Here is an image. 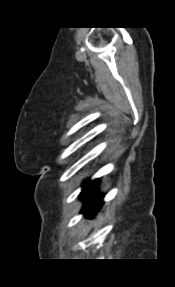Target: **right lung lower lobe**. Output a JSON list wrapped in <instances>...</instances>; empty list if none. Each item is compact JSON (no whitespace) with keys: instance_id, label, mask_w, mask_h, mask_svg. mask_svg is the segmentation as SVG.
<instances>
[{"instance_id":"98d812e1","label":"right lung lower lobe","mask_w":175,"mask_h":287,"mask_svg":"<svg viewBox=\"0 0 175 287\" xmlns=\"http://www.w3.org/2000/svg\"><path fill=\"white\" fill-rule=\"evenodd\" d=\"M103 194L99 193L98 180L89 181L83 185L80 199L85 201L81 213L87 217H93L96 212L101 208L103 203Z\"/></svg>"}]
</instances>
